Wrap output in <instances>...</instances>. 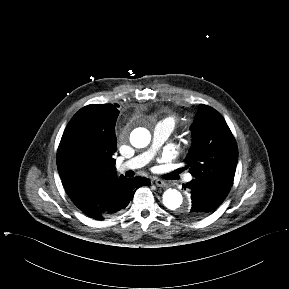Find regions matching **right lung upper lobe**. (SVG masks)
<instances>
[{"mask_svg":"<svg viewBox=\"0 0 289 289\" xmlns=\"http://www.w3.org/2000/svg\"><path fill=\"white\" fill-rule=\"evenodd\" d=\"M116 150L117 143L102 152L76 150L66 127L57 151V168L69 197L82 212L97 211L106 193L125 179L116 175Z\"/></svg>","mask_w":289,"mask_h":289,"instance_id":"right-lung-upper-lobe-1","label":"right lung upper lobe"}]
</instances>
